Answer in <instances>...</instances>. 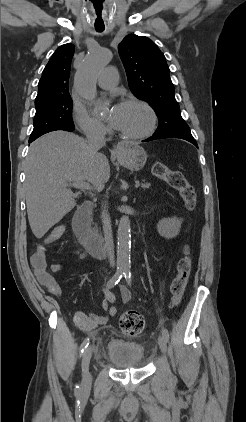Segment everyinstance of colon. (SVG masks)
<instances>
[{
    "label": "colon",
    "mask_w": 246,
    "mask_h": 422,
    "mask_svg": "<svg viewBox=\"0 0 246 422\" xmlns=\"http://www.w3.org/2000/svg\"><path fill=\"white\" fill-rule=\"evenodd\" d=\"M152 172L156 177L166 181L179 193L188 210L195 208L197 203L196 191L180 171L171 170L165 164L156 162L152 166ZM64 231L65 228L63 226H55L47 235L46 242L52 243L57 241L61 238ZM31 262L38 275H44L46 273L45 252L42 247L33 254ZM191 270L192 257L189 248L186 247L183 257L177 263V273L171 284L173 306H178L181 303L188 285ZM119 326L124 334L135 336L143 331L145 320L139 312L129 310L121 315Z\"/></svg>",
    "instance_id": "colon-1"
}]
</instances>
